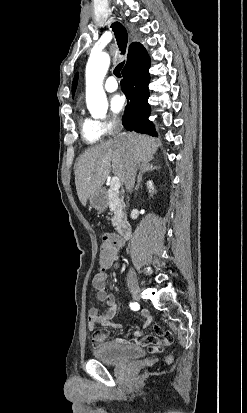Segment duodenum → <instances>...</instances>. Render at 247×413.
<instances>
[{"mask_svg":"<svg viewBox=\"0 0 247 413\" xmlns=\"http://www.w3.org/2000/svg\"><path fill=\"white\" fill-rule=\"evenodd\" d=\"M118 233L123 239L130 238L132 234L131 225L128 222L120 223L118 225Z\"/></svg>","mask_w":247,"mask_h":413,"instance_id":"duodenum-1","label":"duodenum"}]
</instances>
